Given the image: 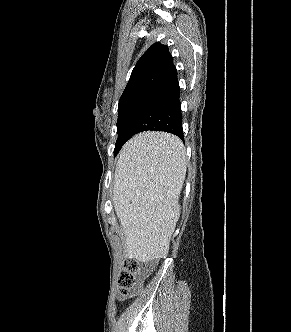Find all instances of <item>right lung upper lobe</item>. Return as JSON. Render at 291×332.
<instances>
[{
  "label": "right lung upper lobe",
  "mask_w": 291,
  "mask_h": 332,
  "mask_svg": "<svg viewBox=\"0 0 291 332\" xmlns=\"http://www.w3.org/2000/svg\"><path fill=\"white\" fill-rule=\"evenodd\" d=\"M177 76L168 47L154 43L135 65L120 100L138 94H149Z\"/></svg>",
  "instance_id": "cb5924a9"
}]
</instances>
